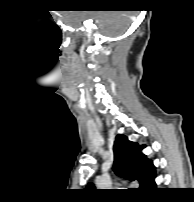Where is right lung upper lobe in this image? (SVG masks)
Masks as SVG:
<instances>
[{
  "instance_id": "cb5924a9",
  "label": "right lung upper lobe",
  "mask_w": 194,
  "mask_h": 202,
  "mask_svg": "<svg viewBox=\"0 0 194 202\" xmlns=\"http://www.w3.org/2000/svg\"><path fill=\"white\" fill-rule=\"evenodd\" d=\"M145 146L131 142L124 135H117L114 142V171L117 175L130 181L137 180L141 190H150L156 187L155 167L141 150Z\"/></svg>"
}]
</instances>
